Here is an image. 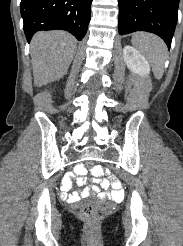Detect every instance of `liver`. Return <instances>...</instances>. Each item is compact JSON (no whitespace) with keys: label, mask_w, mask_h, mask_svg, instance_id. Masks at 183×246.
Here are the masks:
<instances>
[{"label":"liver","mask_w":183,"mask_h":246,"mask_svg":"<svg viewBox=\"0 0 183 246\" xmlns=\"http://www.w3.org/2000/svg\"><path fill=\"white\" fill-rule=\"evenodd\" d=\"M76 47V39L64 31L36 33L31 41L34 85L40 87L63 77Z\"/></svg>","instance_id":"1"}]
</instances>
